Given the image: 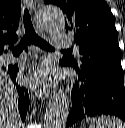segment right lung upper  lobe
Wrapping results in <instances>:
<instances>
[{
	"instance_id": "1",
	"label": "right lung upper lobe",
	"mask_w": 125,
	"mask_h": 128,
	"mask_svg": "<svg viewBox=\"0 0 125 128\" xmlns=\"http://www.w3.org/2000/svg\"><path fill=\"white\" fill-rule=\"evenodd\" d=\"M20 15V0H0V54L7 44H12L18 40L16 30Z\"/></svg>"
}]
</instances>
